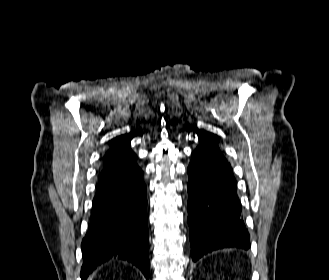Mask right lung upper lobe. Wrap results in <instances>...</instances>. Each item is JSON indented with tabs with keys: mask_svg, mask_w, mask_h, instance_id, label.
Wrapping results in <instances>:
<instances>
[{
	"mask_svg": "<svg viewBox=\"0 0 329 280\" xmlns=\"http://www.w3.org/2000/svg\"><path fill=\"white\" fill-rule=\"evenodd\" d=\"M131 138L126 135L112 140V147L104 156L103 168L136 163L137 156L130 147Z\"/></svg>",
	"mask_w": 329,
	"mask_h": 280,
	"instance_id": "right-lung-upper-lobe-1",
	"label": "right lung upper lobe"
}]
</instances>
